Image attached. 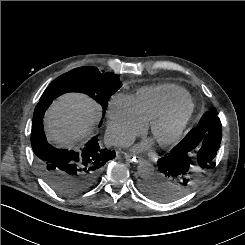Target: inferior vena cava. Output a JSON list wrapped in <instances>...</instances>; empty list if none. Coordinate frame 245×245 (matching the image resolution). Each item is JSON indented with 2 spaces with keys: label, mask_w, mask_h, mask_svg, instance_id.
<instances>
[{
  "label": "inferior vena cava",
  "mask_w": 245,
  "mask_h": 245,
  "mask_svg": "<svg viewBox=\"0 0 245 245\" xmlns=\"http://www.w3.org/2000/svg\"><path fill=\"white\" fill-rule=\"evenodd\" d=\"M106 141L110 142L113 145H118L120 147H128L133 143L132 141L127 140L125 138H118V139L111 140L108 137H106Z\"/></svg>",
  "instance_id": "602c4592"
}]
</instances>
